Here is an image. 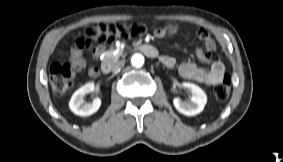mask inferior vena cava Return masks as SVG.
<instances>
[{
	"mask_svg": "<svg viewBox=\"0 0 283 162\" xmlns=\"http://www.w3.org/2000/svg\"><path fill=\"white\" fill-rule=\"evenodd\" d=\"M124 66V62L120 61L113 65L112 71H118Z\"/></svg>",
	"mask_w": 283,
	"mask_h": 162,
	"instance_id": "602c4592",
	"label": "inferior vena cava"
}]
</instances>
